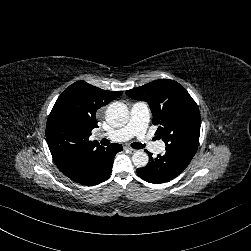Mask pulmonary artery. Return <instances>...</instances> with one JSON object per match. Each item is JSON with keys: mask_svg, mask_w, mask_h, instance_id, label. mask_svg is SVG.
I'll list each match as a JSON object with an SVG mask.
<instances>
[{"mask_svg": "<svg viewBox=\"0 0 251 251\" xmlns=\"http://www.w3.org/2000/svg\"><path fill=\"white\" fill-rule=\"evenodd\" d=\"M149 119V108L146 104L136 103L130 110V118L128 123L122 128L113 130L109 134V138L113 141L124 142L132 137L138 138L142 143L148 140L146 126ZM145 149L153 154L161 155L166 153L164 144L158 142H148L145 144Z\"/></svg>", "mask_w": 251, "mask_h": 251, "instance_id": "1", "label": "pulmonary artery"}]
</instances>
